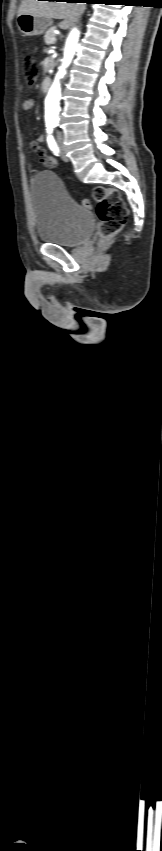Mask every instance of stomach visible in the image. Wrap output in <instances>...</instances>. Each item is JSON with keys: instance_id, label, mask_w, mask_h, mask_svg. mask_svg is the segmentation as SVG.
<instances>
[{"instance_id": "0dacf381", "label": "stomach", "mask_w": 162, "mask_h": 851, "mask_svg": "<svg viewBox=\"0 0 162 851\" xmlns=\"http://www.w3.org/2000/svg\"><path fill=\"white\" fill-rule=\"evenodd\" d=\"M52 24L51 19L38 17L31 14H18L17 26L24 36H36L43 34Z\"/></svg>"}]
</instances>
